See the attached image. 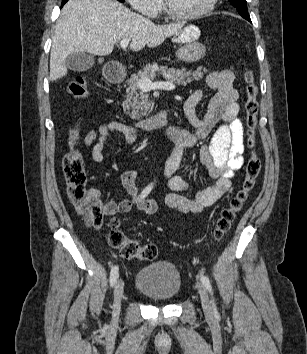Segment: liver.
I'll return each instance as SVG.
<instances>
[{
  "instance_id": "obj_1",
  "label": "liver",
  "mask_w": 307,
  "mask_h": 354,
  "mask_svg": "<svg viewBox=\"0 0 307 354\" xmlns=\"http://www.w3.org/2000/svg\"><path fill=\"white\" fill-rule=\"evenodd\" d=\"M183 25H155L116 0H69L56 23L49 79L55 81L67 74L65 60L71 53L109 55L124 39H130L132 51L146 45L153 48L178 33Z\"/></svg>"
}]
</instances>
